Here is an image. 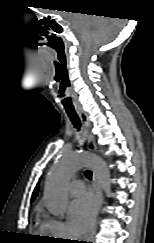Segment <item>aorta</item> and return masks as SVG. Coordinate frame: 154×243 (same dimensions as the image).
I'll list each match as a JSON object with an SVG mask.
<instances>
[{
	"label": "aorta",
	"instance_id": "1",
	"mask_svg": "<svg viewBox=\"0 0 154 243\" xmlns=\"http://www.w3.org/2000/svg\"><path fill=\"white\" fill-rule=\"evenodd\" d=\"M91 166L106 194H109L110 172L106 164L84 152H64L51 168L45 183L48 210L55 216H63L67 208V185L82 167Z\"/></svg>",
	"mask_w": 154,
	"mask_h": 243
}]
</instances>
